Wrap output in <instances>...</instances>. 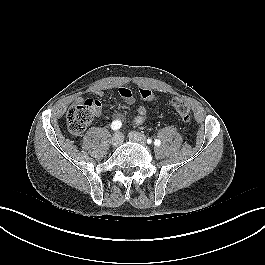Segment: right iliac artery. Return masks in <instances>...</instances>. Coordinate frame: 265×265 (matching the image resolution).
Wrapping results in <instances>:
<instances>
[{
	"mask_svg": "<svg viewBox=\"0 0 265 265\" xmlns=\"http://www.w3.org/2000/svg\"><path fill=\"white\" fill-rule=\"evenodd\" d=\"M121 126H122V123H121V121H118V120L113 121L112 124H111V128L113 130H118V129L121 128Z\"/></svg>",
	"mask_w": 265,
	"mask_h": 265,
	"instance_id": "right-iliac-artery-1",
	"label": "right iliac artery"
}]
</instances>
